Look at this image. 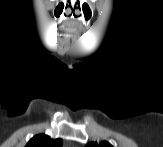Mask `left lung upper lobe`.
Listing matches in <instances>:
<instances>
[{"label":"left lung upper lobe","mask_w":163,"mask_h":147,"mask_svg":"<svg viewBox=\"0 0 163 147\" xmlns=\"http://www.w3.org/2000/svg\"><path fill=\"white\" fill-rule=\"evenodd\" d=\"M97 146L98 147H112V145H110L108 142H105V141L100 143L99 145H97L96 142H92L87 145V147H97Z\"/></svg>","instance_id":"obj_1"}]
</instances>
